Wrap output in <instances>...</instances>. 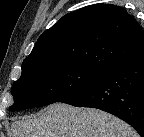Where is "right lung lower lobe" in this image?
<instances>
[{"label": "right lung lower lobe", "mask_w": 144, "mask_h": 137, "mask_svg": "<svg viewBox=\"0 0 144 137\" xmlns=\"http://www.w3.org/2000/svg\"><path fill=\"white\" fill-rule=\"evenodd\" d=\"M61 102L111 113L144 137V54L114 68Z\"/></svg>", "instance_id": "obj_1"}]
</instances>
